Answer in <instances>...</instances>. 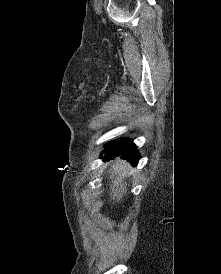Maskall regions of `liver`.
I'll return each instance as SVG.
<instances>
[{"label": "liver", "mask_w": 221, "mask_h": 274, "mask_svg": "<svg viewBox=\"0 0 221 274\" xmlns=\"http://www.w3.org/2000/svg\"><path fill=\"white\" fill-rule=\"evenodd\" d=\"M130 165L126 161L119 160L112 169V176L110 185L111 199H116L117 202L122 200L126 190V183H122V179L129 172Z\"/></svg>", "instance_id": "liver-1"}]
</instances>
